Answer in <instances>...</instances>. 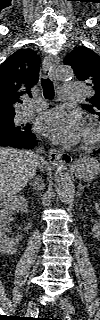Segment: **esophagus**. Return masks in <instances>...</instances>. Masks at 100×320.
Instances as JSON below:
<instances>
[{
  "mask_svg": "<svg viewBox=\"0 0 100 320\" xmlns=\"http://www.w3.org/2000/svg\"><path fill=\"white\" fill-rule=\"evenodd\" d=\"M58 63H59V58L57 55H47L44 59V66L49 68V76L53 79L54 82H56L55 69ZM48 158H49V162L53 166L69 165L72 161V158L70 155L63 154L62 152L56 149H51L49 151Z\"/></svg>",
  "mask_w": 100,
  "mask_h": 320,
  "instance_id": "1",
  "label": "esophagus"
}]
</instances>
